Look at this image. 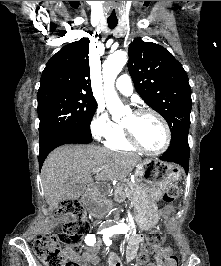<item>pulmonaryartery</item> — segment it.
<instances>
[{
	"instance_id": "e3ab8cb5",
	"label": "pulmonary artery",
	"mask_w": 221,
	"mask_h": 266,
	"mask_svg": "<svg viewBox=\"0 0 221 266\" xmlns=\"http://www.w3.org/2000/svg\"><path fill=\"white\" fill-rule=\"evenodd\" d=\"M115 88L118 92L125 96H130L133 93V85L129 75L122 74L115 83Z\"/></svg>"
}]
</instances>
